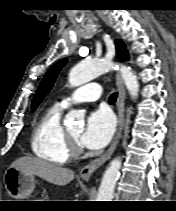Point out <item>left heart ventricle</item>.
I'll use <instances>...</instances> for the list:
<instances>
[{"instance_id":"left-heart-ventricle-1","label":"left heart ventricle","mask_w":176,"mask_h":211,"mask_svg":"<svg viewBox=\"0 0 176 211\" xmlns=\"http://www.w3.org/2000/svg\"><path fill=\"white\" fill-rule=\"evenodd\" d=\"M69 133L76 138L77 140L80 137L81 134V128H72V129H68Z\"/></svg>"}]
</instances>
